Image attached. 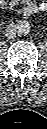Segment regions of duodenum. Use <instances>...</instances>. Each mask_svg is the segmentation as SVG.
I'll list each match as a JSON object with an SVG mask.
<instances>
[{
	"mask_svg": "<svg viewBox=\"0 0 47 129\" xmlns=\"http://www.w3.org/2000/svg\"><path fill=\"white\" fill-rule=\"evenodd\" d=\"M21 12L24 15H30L39 12V8L36 5H27L21 10Z\"/></svg>",
	"mask_w": 47,
	"mask_h": 129,
	"instance_id": "obj_1",
	"label": "duodenum"
}]
</instances>
